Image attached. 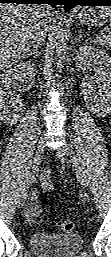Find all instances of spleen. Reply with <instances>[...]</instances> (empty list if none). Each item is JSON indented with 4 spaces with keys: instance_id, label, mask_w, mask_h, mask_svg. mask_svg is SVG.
Listing matches in <instances>:
<instances>
[{
    "instance_id": "spleen-1",
    "label": "spleen",
    "mask_w": 111,
    "mask_h": 257,
    "mask_svg": "<svg viewBox=\"0 0 111 257\" xmlns=\"http://www.w3.org/2000/svg\"><path fill=\"white\" fill-rule=\"evenodd\" d=\"M102 8V7H101ZM106 16L109 17L110 21H111V7H106L104 8Z\"/></svg>"
}]
</instances>
